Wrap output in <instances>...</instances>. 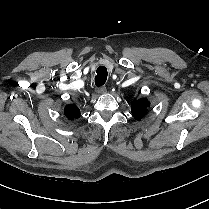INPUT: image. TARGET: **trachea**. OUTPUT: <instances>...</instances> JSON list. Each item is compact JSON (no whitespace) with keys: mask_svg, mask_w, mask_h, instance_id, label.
<instances>
[{"mask_svg":"<svg viewBox=\"0 0 209 209\" xmlns=\"http://www.w3.org/2000/svg\"><path fill=\"white\" fill-rule=\"evenodd\" d=\"M96 73L97 75L95 77V85L97 87H101L104 85V83L107 80V75H108L107 69L105 66H99L96 70Z\"/></svg>","mask_w":209,"mask_h":209,"instance_id":"3493384b","label":"trachea"}]
</instances>
